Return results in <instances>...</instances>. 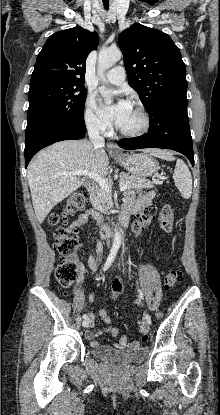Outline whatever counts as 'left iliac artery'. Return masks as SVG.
Segmentation results:
<instances>
[{"label":"left iliac artery","mask_w":220,"mask_h":415,"mask_svg":"<svg viewBox=\"0 0 220 415\" xmlns=\"http://www.w3.org/2000/svg\"><path fill=\"white\" fill-rule=\"evenodd\" d=\"M138 293H139L140 299L143 300L144 299L143 293H142V290L139 287H138ZM146 320L149 321V322H151V319L149 318V314L146 315Z\"/></svg>","instance_id":"obj_1"}]
</instances>
